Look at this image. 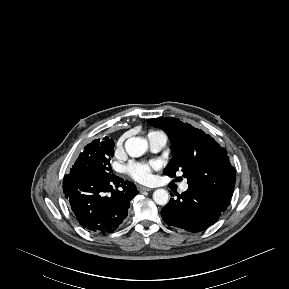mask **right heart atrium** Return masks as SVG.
Returning <instances> with one entry per match:
<instances>
[{"mask_svg":"<svg viewBox=\"0 0 289 289\" xmlns=\"http://www.w3.org/2000/svg\"><path fill=\"white\" fill-rule=\"evenodd\" d=\"M121 143H122V140L119 141V145H121Z\"/></svg>","mask_w":289,"mask_h":289,"instance_id":"obj_1","label":"right heart atrium"}]
</instances>
